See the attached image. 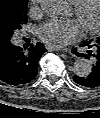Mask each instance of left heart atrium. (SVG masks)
Segmentation results:
<instances>
[{
    "label": "left heart atrium",
    "mask_w": 100,
    "mask_h": 118,
    "mask_svg": "<svg viewBox=\"0 0 100 118\" xmlns=\"http://www.w3.org/2000/svg\"><path fill=\"white\" fill-rule=\"evenodd\" d=\"M82 35L80 24L75 20L50 19L37 30L38 38L53 48L65 47Z\"/></svg>",
    "instance_id": "1"
}]
</instances>
